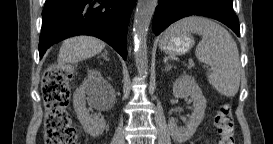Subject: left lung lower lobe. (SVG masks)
I'll use <instances>...</instances> for the list:
<instances>
[{
	"label": "left lung lower lobe",
	"mask_w": 273,
	"mask_h": 144,
	"mask_svg": "<svg viewBox=\"0 0 273 144\" xmlns=\"http://www.w3.org/2000/svg\"><path fill=\"white\" fill-rule=\"evenodd\" d=\"M190 15L219 20L240 36L233 0H158L153 17V32L158 35L173 22Z\"/></svg>",
	"instance_id": "obj_1"
}]
</instances>
